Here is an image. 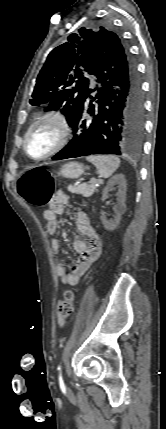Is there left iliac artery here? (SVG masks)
I'll use <instances>...</instances> for the list:
<instances>
[{"label":"left iliac artery","instance_id":"obj_1","mask_svg":"<svg viewBox=\"0 0 166 429\" xmlns=\"http://www.w3.org/2000/svg\"><path fill=\"white\" fill-rule=\"evenodd\" d=\"M58 370L60 371V380L62 381V376H61V366H58Z\"/></svg>","mask_w":166,"mask_h":429}]
</instances>
